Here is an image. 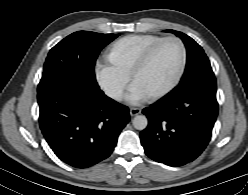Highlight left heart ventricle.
Here are the masks:
<instances>
[{"instance_id": "1", "label": "left heart ventricle", "mask_w": 248, "mask_h": 195, "mask_svg": "<svg viewBox=\"0 0 248 195\" xmlns=\"http://www.w3.org/2000/svg\"><path fill=\"white\" fill-rule=\"evenodd\" d=\"M181 59L180 44L175 41L169 42L160 50L150 69L142 74L136 87L145 93L162 90L177 74Z\"/></svg>"}]
</instances>
